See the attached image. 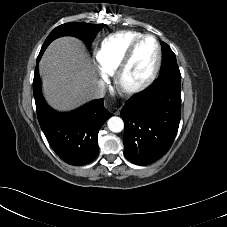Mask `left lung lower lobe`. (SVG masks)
<instances>
[{
  "label": "left lung lower lobe",
  "instance_id": "left-lung-lower-lobe-1",
  "mask_svg": "<svg viewBox=\"0 0 227 227\" xmlns=\"http://www.w3.org/2000/svg\"><path fill=\"white\" fill-rule=\"evenodd\" d=\"M124 155L136 165H148L170 149L181 118V89L154 82L125 103Z\"/></svg>",
  "mask_w": 227,
  "mask_h": 227
}]
</instances>
